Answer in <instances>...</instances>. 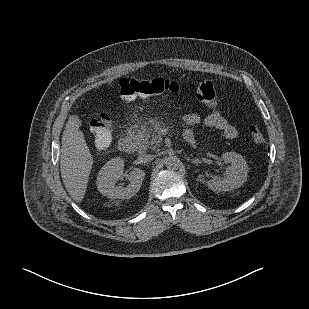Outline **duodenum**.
<instances>
[{
	"label": "duodenum",
	"mask_w": 309,
	"mask_h": 309,
	"mask_svg": "<svg viewBox=\"0 0 309 309\" xmlns=\"http://www.w3.org/2000/svg\"><path fill=\"white\" fill-rule=\"evenodd\" d=\"M185 141L190 144L193 143L190 137H186ZM118 149L123 153H130L133 150V143L130 139L120 138L118 141Z\"/></svg>",
	"instance_id": "1"
}]
</instances>
